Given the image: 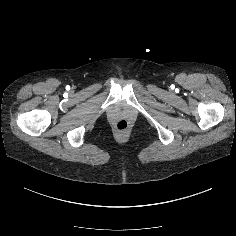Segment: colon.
Here are the masks:
<instances>
[{"mask_svg":"<svg viewBox=\"0 0 236 236\" xmlns=\"http://www.w3.org/2000/svg\"><path fill=\"white\" fill-rule=\"evenodd\" d=\"M127 127H128V124L125 120H119L116 123V129L118 131H125L127 129Z\"/></svg>","mask_w":236,"mask_h":236,"instance_id":"obj_1","label":"colon"}]
</instances>
